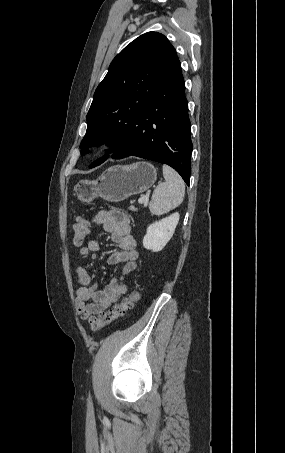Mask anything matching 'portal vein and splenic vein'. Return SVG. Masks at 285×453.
<instances>
[{
    "instance_id": "18ae733b",
    "label": "portal vein and splenic vein",
    "mask_w": 285,
    "mask_h": 453,
    "mask_svg": "<svg viewBox=\"0 0 285 453\" xmlns=\"http://www.w3.org/2000/svg\"><path fill=\"white\" fill-rule=\"evenodd\" d=\"M138 202H139V204H144L146 202V198L145 197H140Z\"/></svg>"
}]
</instances>
